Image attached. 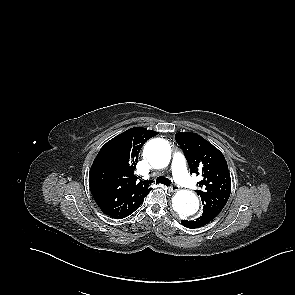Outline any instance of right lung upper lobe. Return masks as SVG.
<instances>
[{"mask_svg": "<svg viewBox=\"0 0 295 295\" xmlns=\"http://www.w3.org/2000/svg\"><path fill=\"white\" fill-rule=\"evenodd\" d=\"M158 132L131 128L108 141L97 154L89 173L91 193L100 209L112 218L135 211L151 188L134 174L143 144Z\"/></svg>", "mask_w": 295, "mask_h": 295, "instance_id": "1", "label": "right lung upper lobe"}]
</instances>
